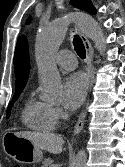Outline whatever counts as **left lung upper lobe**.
<instances>
[{
	"label": "left lung upper lobe",
	"mask_w": 125,
	"mask_h": 167,
	"mask_svg": "<svg viewBox=\"0 0 125 167\" xmlns=\"http://www.w3.org/2000/svg\"><path fill=\"white\" fill-rule=\"evenodd\" d=\"M71 4L92 14L96 13L95 8L91 5V2L89 0H71Z\"/></svg>",
	"instance_id": "obj_1"
}]
</instances>
